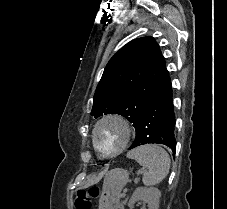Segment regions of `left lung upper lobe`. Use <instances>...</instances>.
<instances>
[{
	"instance_id": "left-lung-upper-lobe-1",
	"label": "left lung upper lobe",
	"mask_w": 227,
	"mask_h": 209,
	"mask_svg": "<svg viewBox=\"0 0 227 209\" xmlns=\"http://www.w3.org/2000/svg\"><path fill=\"white\" fill-rule=\"evenodd\" d=\"M165 59L153 37L134 39L108 62L91 115L120 114L136 128L147 105L169 84Z\"/></svg>"
}]
</instances>
